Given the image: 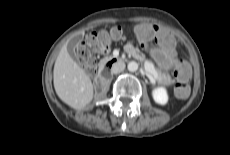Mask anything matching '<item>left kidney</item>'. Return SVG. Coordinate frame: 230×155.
I'll use <instances>...</instances> for the list:
<instances>
[{
    "instance_id": "left-kidney-1",
    "label": "left kidney",
    "mask_w": 230,
    "mask_h": 155,
    "mask_svg": "<svg viewBox=\"0 0 230 155\" xmlns=\"http://www.w3.org/2000/svg\"><path fill=\"white\" fill-rule=\"evenodd\" d=\"M152 95H153V99L158 104L164 105L168 101L167 91L163 87L155 88L152 92Z\"/></svg>"
}]
</instances>
